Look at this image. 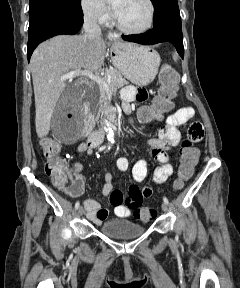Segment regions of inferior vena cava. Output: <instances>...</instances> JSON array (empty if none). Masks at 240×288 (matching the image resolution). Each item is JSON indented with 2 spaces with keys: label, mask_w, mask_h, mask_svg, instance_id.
Listing matches in <instances>:
<instances>
[{
  "label": "inferior vena cava",
  "mask_w": 240,
  "mask_h": 288,
  "mask_svg": "<svg viewBox=\"0 0 240 288\" xmlns=\"http://www.w3.org/2000/svg\"><path fill=\"white\" fill-rule=\"evenodd\" d=\"M97 13L88 11L84 15L83 30L84 35L89 40L99 39L101 37V28L97 22Z\"/></svg>",
  "instance_id": "inferior-vena-cava-1"
}]
</instances>
